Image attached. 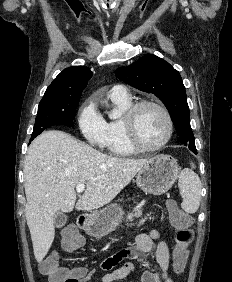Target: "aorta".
Instances as JSON below:
<instances>
[{"label": "aorta", "mask_w": 232, "mask_h": 282, "mask_svg": "<svg viewBox=\"0 0 232 282\" xmlns=\"http://www.w3.org/2000/svg\"><path fill=\"white\" fill-rule=\"evenodd\" d=\"M110 117H111V118H116L117 115H116V114H110Z\"/></svg>", "instance_id": "aorta-1"}]
</instances>
